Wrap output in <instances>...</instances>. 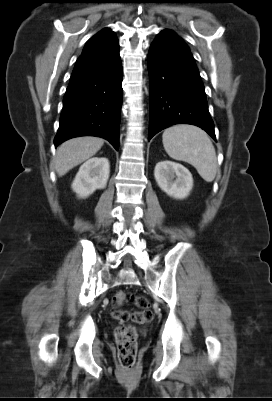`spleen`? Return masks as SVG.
Returning a JSON list of instances; mask_svg holds the SVG:
<instances>
[{"label": "spleen", "mask_w": 272, "mask_h": 401, "mask_svg": "<svg viewBox=\"0 0 272 401\" xmlns=\"http://www.w3.org/2000/svg\"><path fill=\"white\" fill-rule=\"evenodd\" d=\"M162 142L166 153L172 159L191 164L206 182L215 179V148L202 129L192 125H175L163 132Z\"/></svg>", "instance_id": "1"}]
</instances>
